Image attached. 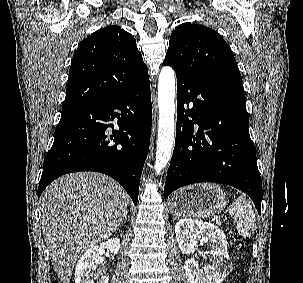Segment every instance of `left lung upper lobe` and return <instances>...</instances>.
Segmentation results:
<instances>
[{"instance_id": "1", "label": "left lung upper lobe", "mask_w": 303, "mask_h": 283, "mask_svg": "<svg viewBox=\"0 0 303 283\" xmlns=\"http://www.w3.org/2000/svg\"><path fill=\"white\" fill-rule=\"evenodd\" d=\"M164 64L190 77L222 76L242 84L228 44L219 33L203 25L180 24L171 34Z\"/></svg>"}]
</instances>
